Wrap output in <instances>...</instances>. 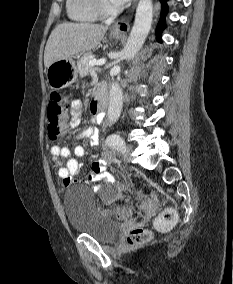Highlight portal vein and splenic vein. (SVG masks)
<instances>
[{
    "label": "portal vein and splenic vein",
    "mask_w": 233,
    "mask_h": 284,
    "mask_svg": "<svg viewBox=\"0 0 233 284\" xmlns=\"http://www.w3.org/2000/svg\"><path fill=\"white\" fill-rule=\"evenodd\" d=\"M105 63H106L105 59H100V60L92 59L89 61V65L91 67L98 66V65H104Z\"/></svg>",
    "instance_id": "18ae733b"
}]
</instances>
